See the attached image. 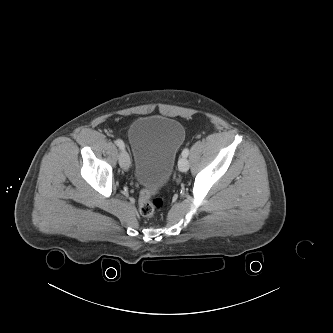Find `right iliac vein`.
Wrapping results in <instances>:
<instances>
[{
    "label": "right iliac vein",
    "instance_id": "63e3f726",
    "mask_svg": "<svg viewBox=\"0 0 333 333\" xmlns=\"http://www.w3.org/2000/svg\"><path fill=\"white\" fill-rule=\"evenodd\" d=\"M119 164L124 170H128L130 168V157L126 151H121L119 153Z\"/></svg>",
    "mask_w": 333,
    "mask_h": 333
}]
</instances>
